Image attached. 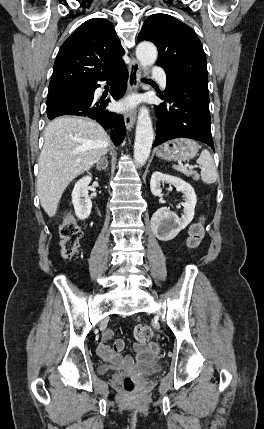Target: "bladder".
Masks as SVG:
<instances>
[{"label":"bladder","instance_id":"31cf9c89","mask_svg":"<svg viewBox=\"0 0 264 429\" xmlns=\"http://www.w3.org/2000/svg\"><path fill=\"white\" fill-rule=\"evenodd\" d=\"M101 370L103 373H108L109 371H111V367L103 366ZM161 370L162 365L158 362H153L139 367L137 369V372L142 376H152L154 374L159 373Z\"/></svg>","mask_w":264,"mask_h":429}]
</instances>
